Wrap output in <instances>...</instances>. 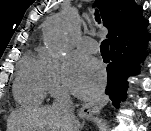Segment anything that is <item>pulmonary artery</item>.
Wrapping results in <instances>:
<instances>
[{"label": "pulmonary artery", "instance_id": "1", "mask_svg": "<svg viewBox=\"0 0 151 131\" xmlns=\"http://www.w3.org/2000/svg\"><path fill=\"white\" fill-rule=\"evenodd\" d=\"M81 47L88 52H95L96 46L94 42L90 39H83L81 42Z\"/></svg>", "mask_w": 151, "mask_h": 131}]
</instances>
